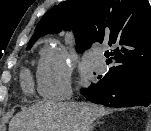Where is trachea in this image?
<instances>
[{"label": "trachea", "instance_id": "3493384b", "mask_svg": "<svg viewBox=\"0 0 151 131\" xmlns=\"http://www.w3.org/2000/svg\"><path fill=\"white\" fill-rule=\"evenodd\" d=\"M109 55H110V54H109L108 52L105 53V57H109Z\"/></svg>", "mask_w": 151, "mask_h": 131}]
</instances>
